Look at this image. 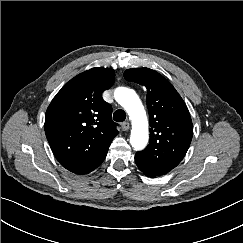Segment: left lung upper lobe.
I'll use <instances>...</instances> for the list:
<instances>
[{
    "mask_svg": "<svg viewBox=\"0 0 243 243\" xmlns=\"http://www.w3.org/2000/svg\"><path fill=\"white\" fill-rule=\"evenodd\" d=\"M124 78L147 88L150 141L136 153V165L144 174L164 175L182 161L190 146L193 126L188 108L172 84L154 70L128 69Z\"/></svg>",
    "mask_w": 243,
    "mask_h": 243,
    "instance_id": "left-lung-upper-lobe-1",
    "label": "left lung upper lobe"
}]
</instances>
